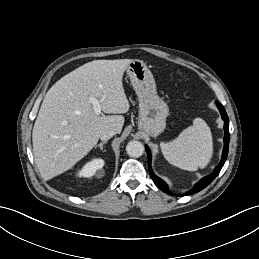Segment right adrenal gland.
Instances as JSON below:
<instances>
[{"instance_id":"2a0ac1e0","label":"right adrenal gland","mask_w":259,"mask_h":259,"mask_svg":"<svg viewBox=\"0 0 259 259\" xmlns=\"http://www.w3.org/2000/svg\"><path fill=\"white\" fill-rule=\"evenodd\" d=\"M106 143H107V141H103L100 144L96 145L95 148L99 147L101 150H103V145Z\"/></svg>"}]
</instances>
